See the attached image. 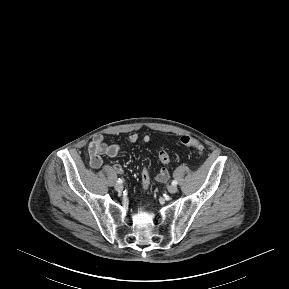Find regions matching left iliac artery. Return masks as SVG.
<instances>
[{
  "instance_id": "left-iliac-artery-1",
  "label": "left iliac artery",
  "mask_w": 289,
  "mask_h": 289,
  "mask_svg": "<svg viewBox=\"0 0 289 289\" xmlns=\"http://www.w3.org/2000/svg\"><path fill=\"white\" fill-rule=\"evenodd\" d=\"M177 184H178V182L176 180L172 181V185H177Z\"/></svg>"
}]
</instances>
